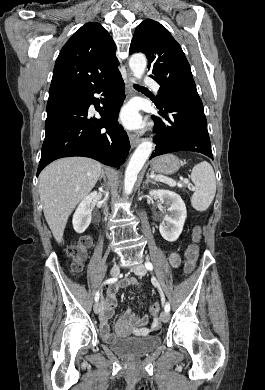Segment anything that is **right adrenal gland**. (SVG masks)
I'll return each mask as SVG.
<instances>
[{"label": "right adrenal gland", "mask_w": 265, "mask_h": 390, "mask_svg": "<svg viewBox=\"0 0 265 390\" xmlns=\"http://www.w3.org/2000/svg\"><path fill=\"white\" fill-rule=\"evenodd\" d=\"M101 179H103L104 182L106 183V176H105V172L103 169L101 170V176L99 177V181H101Z\"/></svg>", "instance_id": "obj_1"}]
</instances>
